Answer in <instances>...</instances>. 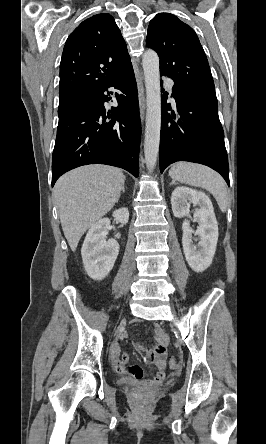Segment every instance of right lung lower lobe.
Masks as SVG:
<instances>
[{
    "instance_id": "1",
    "label": "right lung lower lobe",
    "mask_w": 266,
    "mask_h": 444,
    "mask_svg": "<svg viewBox=\"0 0 266 444\" xmlns=\"http://www.w3.org/2000/svg\"><path fill=\"white\" fill-rule=\"evenodd\" d=\"M109 87L118 107L106 115L104 94ZM107 118H112L106 122ZM141 122L137 84L128 63L110 81L92 94L86 103L59 119L52 157V186L65 172L88 164H107L139 175L138 158Z\"/></svg>"
}]
</instances>
